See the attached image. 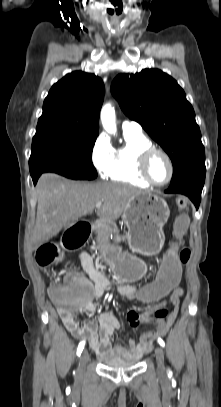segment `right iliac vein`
<instances>
[{"label":"right iliac vein","mask_w":221,"mask_h":407,"mask_svg":"<svg viewBox=\"0 0 221 407\" xmlns=\"http://www.w3.org/2000/svg\"><path fill=\"white\" fill-rule=\"evenodd\" d=\"M89 360V354L88 351L85 349L82 352L81 358H80V362H79V371L83 372L85 370L86 364Z\"/></svg>","instance_id":"1"}]
</instances>
